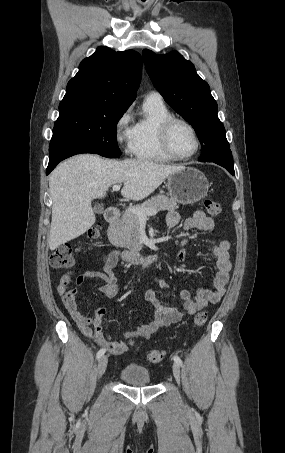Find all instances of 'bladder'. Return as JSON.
Wrapping results in <instances>:
<instances>
[{"mask_svg": "<svg viewBox=\"0 0 285 453\" xmlns=\"http://www.w3.org/2000/svg\"><path fill=\"white\" fill-rule=\"evenodd\" d=\"M120 378L123 382L132 386H147L151 384L149 370L135 363L125 365L120 371Z\"/></svg>", "mask_w": 285, "mask_h": 453, "instance_id": "bladder-1", "label": "bladder"}]
</instances>
